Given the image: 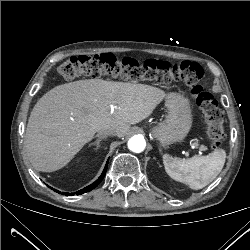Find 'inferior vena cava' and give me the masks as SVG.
<instances>
[{
    "instance_id": "1",
    "label": "inferior vena cava",
    "mask_w": 250,
    "mask_h": 250,
    "mask_svg": "<svg viewBox=\"0 0 250 250\" xmlns=\"http://www.w3.org/2000/svg\"><path fill=\"white\" fill-rule=\"evenodd\" d=\"M114 135H116V132L114 129L99 130L97 132V136H100V137H107V136H114Z\"/></svg>"
}]
</instances>
